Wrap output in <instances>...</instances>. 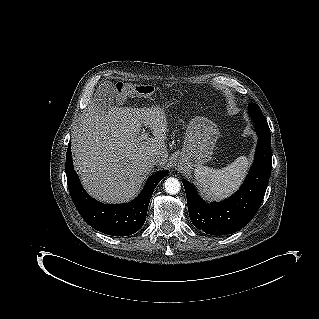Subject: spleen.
Instances as JSON below:
<instances>
[{
	"instance_id": "obj_1",
	"label": "spleen",
	"mask_w": 319,
	"mask_h": 319,
	"mask_svg": "<svg viewBox=\"0 0 319 319\" xmlns=\"http://www.w3.org/2000/svg\"><path fill=\"white\" fill-rule=\"evenodd\" d=\"M248 159L238 157L222 169L199 166L194 174L203 192L211 198L223 199L238 188L248 169Z\"/></svg>"
}]
</instances>
